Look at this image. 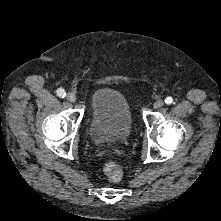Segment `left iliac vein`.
I'll list each match as a JSON object with an SVG mask.
<instances>
[{
    "label": "left iliac vein",
    "mask_w": 221,
    "mask_h": 221,
    "mask_svg": "<svg viewBox=\"0 0 221 221\" xmlns=\"http://www.w3.org/2000/svg\"><path fill=\"white\" fill-rule=\"evenodd\" d=\"M163 105H164V101H163V100H157V101L154 103V107H155L156 109L163 107Z\"/></svg>",
    "instance_id": "1"
}]
</instances>
